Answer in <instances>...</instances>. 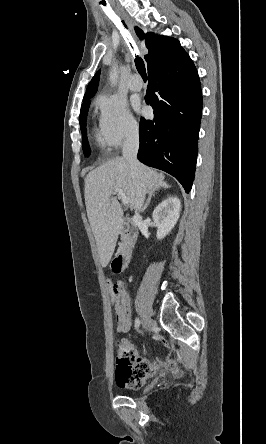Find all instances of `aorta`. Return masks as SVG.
Instances as JSON below:
<instances>
[{"label": "aorta", "instance_id": "762f6f07", "mask_svg": "<svg viewBox=\"0 0 266 444\" xmlns=\"http://www.w3.org/2000/svg\"><path fill=\"white\" fill-rule=\"evenodd\" d=\"M109 79L112 85H116L118 79V72L115 66L110 71Z\"/></svg>", "mask_w": 266, "mask_h": 444}]
</instances>
